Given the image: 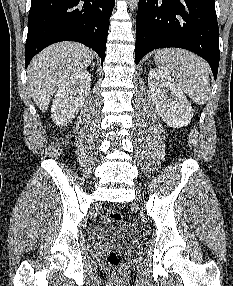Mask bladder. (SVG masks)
I'll list each match as a JSON object with an SVG mask.
<instances>
[{"instance_id": "obj_1", "label": "bladder", "mask_w": 233, "mask_h": 286, "mask_svg": "<svg viewBox=\"0 0 233 286\" xmlns=\"http://www.w3.org/2000/svg\"><path fill=\"white\" fill-rule=\"evenodd\" d=\"M111 237H122L130 243L139 240V233L131 225L118 222H105L96 230V240L102 241Z\"/></svg>"}]
</instances>
